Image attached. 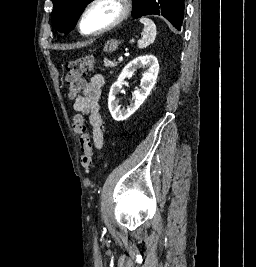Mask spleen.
<instances>
[{"label":"spleen","mask_w":256,"mask_h":267,"mask_svg":"<svg viewBox=\"0 0 256 267\" xmlns=\"http://www.w3.org/2000/svg\"><path fill=\"white\" fill-rule=\"evenodd\" d=\"M139 22L143 24L144 28L142 32V38L141 40H138V48L143 50V48H147V46H150V44L155 42L157 28L154 22L149 20V18H141Z\"/></svg>","instance_id":"obj_1"}]
</instances>
